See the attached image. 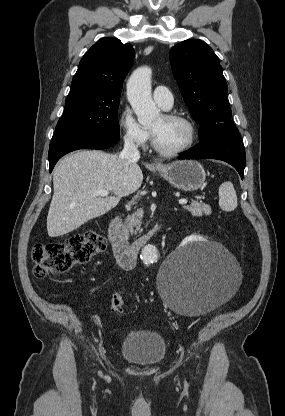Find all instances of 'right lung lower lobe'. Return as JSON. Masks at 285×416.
<instances>
[{
    "instance_id": "1",
    "label": "right lung lower lobe",
    "mask_w": 285,
    "mask_h": 416,
    "mask_svg": "<svg viewBox=\"0 0 285 416\" xmlns=\"http://www.w3.org/2000/svg\"><path fill=\"white\" fill-rule=\"evenodd\" d=\"M119 135L98 133L54 134L49 147V167L52 172L56 162L65 154L78 149H104L113 146Z\"/></svg>"
}]
</instances>
